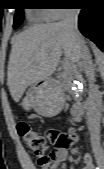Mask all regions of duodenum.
Listing matches in <instances>:
<instances>
[{"instance_id":"obj_1","label":"duodenum","mask_w":104,"mask_h":169,"mask_svg":"<svg viewBox=\"0 0 104 169\" xmlns=\"http://www.w3.org/2000/svg\"><path fill=\"white\" fill-rule=\"evenodd\" d=\"M73 115L76 121H81L85 115V104L77 103L72 107Z\"/></svg>"}]
</instances>
